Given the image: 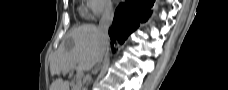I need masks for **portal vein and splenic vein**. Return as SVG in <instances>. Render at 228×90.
Wrapping results in <instances>:
<instances>
[{
	"instance_id": "18ae733b",
	"label": "portal vein and splenic vein",
	"mask_w": 228,
	"mask_h": 90,
	"mask_svg": "<svg viewBox=\"0 0 228 90\" xmlns=\"http://www.w3.org/2000/svg\"><path fill=\"white\" fill-rule=\"evenodd\" d=\"M72 69H77V78L79 79V78H81V76H82V70H81V68L80 67H73Z\"/></svg>"
}]
</instances>
